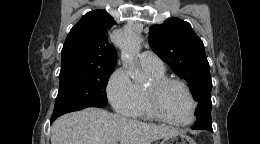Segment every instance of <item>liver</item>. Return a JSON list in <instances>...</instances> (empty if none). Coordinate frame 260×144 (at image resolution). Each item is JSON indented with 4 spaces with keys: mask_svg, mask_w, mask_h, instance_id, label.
<instances>
[{
    "mask_svg": "<svg viewBox=\"0 0 260 144\" xmlns=\"http://www.w3.org/2000/svg\"><path fill=\"white\" fill-rule=\"evenodd\" d=\"M179 130L144 123L98 108H87L58 118L51 144H152Z\"/></svg>",
    "mask_w": 260,
    "mask_h": 144,
    "instance_id": "liver-1",
    "label": "liver"
}]
</instances>
